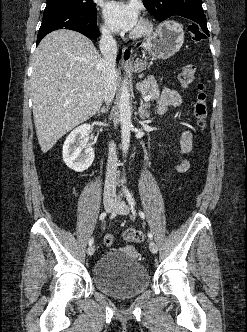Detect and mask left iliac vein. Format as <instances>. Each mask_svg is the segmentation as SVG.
Listing matches in <instances>:
<instances>
[{"label":"left iliac vein","mask_w":247,"mask_h":332,"mask_svg":"<svg viewBox=\"0 0 247 332\" xmlns=\"http://www.w3.org/2000/svg\"><path fill=\"white\" fill-rule=\"evenodd\" d=\"M113 211L120 215H128L130 212V207L126 205L124 201H121L115 204ZM149 249L153 254H156L158 251L157 245L153 241H150Z\"/></svg>","instance_id":"4c4485c4"}]
</instances>
